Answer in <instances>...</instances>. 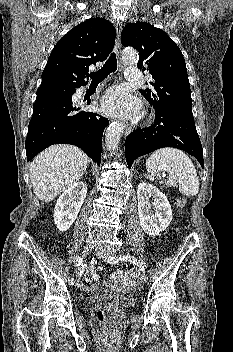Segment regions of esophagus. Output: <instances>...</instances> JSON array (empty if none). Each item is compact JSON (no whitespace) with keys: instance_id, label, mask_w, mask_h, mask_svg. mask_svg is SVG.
<instances>
[{"instance_id":"1","label":"esophagus","mask_w":233,"mask_h":352,"mask_svg":"<svg viewBox=\"0 0 233 352\" xmlns=\"http://www.w3.org/2000/svg\"><path fill=\"white\" fill-rule=\"evenodd\" d=\"M121 31H122V22L118 21L116 24V41H115V52L118 57L121 52V42H120ZM131 130H132V127L129 124L125 125V135H128L131 132Z\"/></svg>"}]
</instances>
